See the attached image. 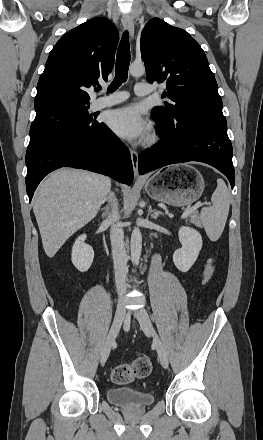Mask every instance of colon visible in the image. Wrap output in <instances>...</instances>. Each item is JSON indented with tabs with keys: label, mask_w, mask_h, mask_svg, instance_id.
Listing matches in <instances>:
<instances>
[{
	"label": "colon",
	"mask_w": 263,
	"mask_h": 440,
	"mask_svg": "<svg viewBox=\"0 0 263 440\" xmlns=\"http://www.w3.org/2000/svg\"><path fill=\"white\" fill-rule=\"evenodd\" d=\"M216 271L213 260H209L205 268V283H209ZM151 372V362L146 356H141L135 360L116 364L111 367L110 376L115 383L128 384L136 380L147 377Z\"/></svg>",
	"instance_id": "5ec220e1"
}]
</instances>
